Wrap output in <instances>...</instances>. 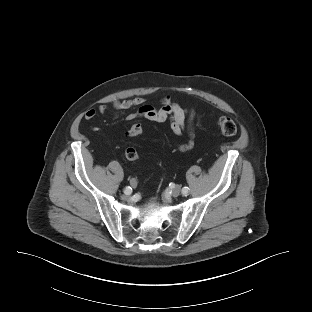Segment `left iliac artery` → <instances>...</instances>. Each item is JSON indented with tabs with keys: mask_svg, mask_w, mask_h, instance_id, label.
<instances>
[{
	"mask_svg": "<svg viewBox=\"0 0 312 312\" xmlns=\"http://www.w3.org/2000/svg\"><path fill=\"white\" fill-rule=\"evenodd\" d=\"M188 192H189V188H188V187H184V188L182 189V193H183L184 195H187Z\"/></svg>",
	"mask_w": 312,
	"mask_h": 312,
	"instance_id": "left-iliac-artery-1",
	"label": "left iliac artery"
}]
</instances>
